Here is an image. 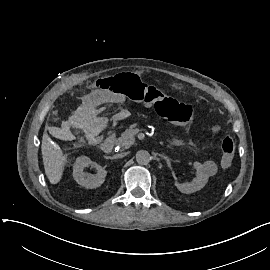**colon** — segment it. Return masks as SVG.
Returning a JSON list of instances; mask_svg holds the SVG:
<instances>
[{"instance_id":"colon-1","label":"colon","mask_w":270,"mask_h":270,"mask_svg":"<svg viewBox=\"0 0 270 270\" xmlns=\"http://www.w3.org/2000/svg\"><path fill=\"white\" fill-rule=\"evenodd\" d=\"M95 85L99 89L105 88L153 107L161 117L178 126H185L192 120L191 105L163 94L157 87L141 81L140 76L134 72L118 74L114 78L99 76L95 80ZM218 137L221 150L219 161L223 167L230 168L234 164V159L230 156L235 151L234 139L223 131L218 133Z\"/></svg>"}]
</instances>
